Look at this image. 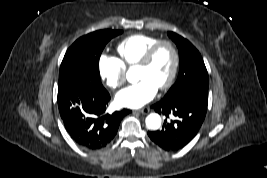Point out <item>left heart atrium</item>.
<instances>
[{
    "label": "left heart atrium",
    "mask_w": 267,
    "mask_h": 178,
    "mask_svg": "<svg viewBox=\"0 0 267 178\" xmlns=\"http://www.w3.org/2000/svg\"><path fill=\"white\" fill-rule=\"evenodd\" d=\"M158 87L148 79L129 85L116 95L118 105L127 108H140L150 102L157 94Z\"/></svg>",
    "instance_id": "39dd6f15"
}]
</instances>
